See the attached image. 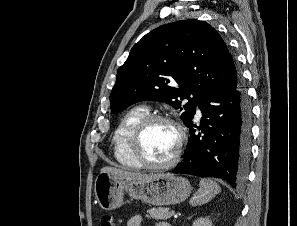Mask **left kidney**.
<instances>
[{
  "label": "left kidney",
  "mask_w": 297,
  "mask_h": 226,
  "mask_svg": "<svg viewBox=\"0 0 297 226\" xmlns=\"http://www.w3.org/2000/svg\"><path fill=\"white\" fill-rule=\"evenodd\" d=\"M192 226H212V221L209 217H200L193 222Z\"/></svg>",
  "instance_id": "1"
}]
</instances>
